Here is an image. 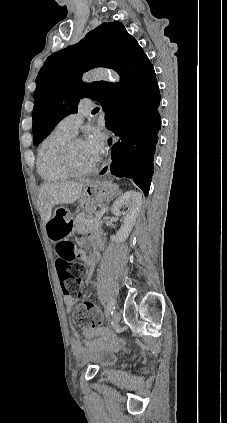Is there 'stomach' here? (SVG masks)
Returning a JSON list of instances; mask_svg holds the SVG:
<instances>
[{
	"instance_id": "1",
	"label": "stomach",
	"mask_w": 227,
	"mask_h": 423,
	"mask_svg": "<svg viewBox=\"0 0 227 423\" xmlns=\"http://www.w3.org/2000/svg\"><path fill=\"white\" fill-rule=\"evenodd\" d=\"M116 194H118V188L115 184L93 180V182L84 184L78 206L84 211H94L98 204L113 200Z\"/></svg>"
}]
</instances>
